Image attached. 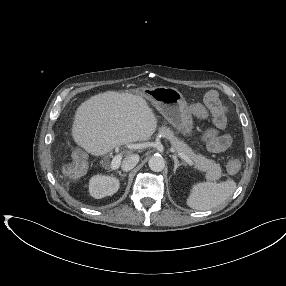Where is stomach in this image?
Wrapping results in <instances>:
<instances>
[{
	"label": "stomach",
	"mask_w": 286,
	"mask_h": 286,
	"mask_svg": "<svg viewBox=\"0 0 286 286\" xmlns=\"http://www.w3.org/2000/svg\"><path fill=\"white\" fill-rule=\"evenodd\" d=\"M139 94L146 98L178 131L186 136L193 132L192 114L183 95L173 87L143 88Z\"/></svg>",
	"instance_id": "obj_1"
}]
</instances>
